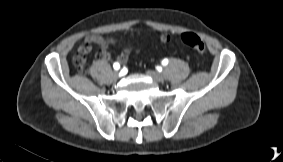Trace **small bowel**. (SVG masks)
Listing matches in <instances>:
<instances>
[{
	"label": "small bowel",
	"instance_id": "obj_1",
	"mask_svg": "<svg viewBox=\"0 0 283 162\" xmlns=\"http://www.w3.org/2000/svg\"><path fill=\"white\" fill-rule=\"evenodd\" d=\"M115 43L114 38H106L98 34H89L87 35L81 45L78 48V55L86 58V55L91 51L93 45L99 46L100 50L97 53V59L99 61H110L112 60V54L108 50L109 44ZM127 58V54L124 53L120 61L124 62Z\"/></svg>",
	"mask_w": 283,
	"mask_h": 162
}]
</instances>
